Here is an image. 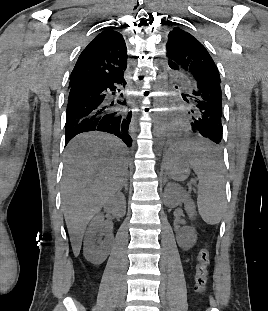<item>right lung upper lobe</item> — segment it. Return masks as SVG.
Here are the masks:
<instances>
[{"label": "right lung upper lobe", "mask_w": 268, "mask_h": 311, "mask_svg": "<svg viewBox=\"0 0 268 311\" xmlns=\"http://www.w3.org/2000/svg\"><path fill=\"white\" fill-rule=\"evenodd\" d=\"M127 66V47L123 36L106 29L82 51L70 76V85L96 82L124 74Z\"/></svg>", "instance_id": "1"}]
</instances>
